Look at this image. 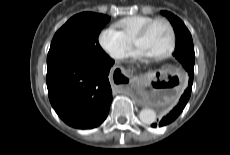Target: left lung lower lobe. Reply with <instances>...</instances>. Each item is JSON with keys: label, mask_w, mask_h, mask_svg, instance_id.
Instances as JSON below:
<instances>
[{"label": "left lung lower lobe", "mask_w": 230, "mask_h": 155, "mask_svg": "<svg viewBox=\"0 0 230 155\" xmlns=\"http://www.w3.org/2000/svg\"><path fill=\"white\" fill-rule=\"evenodd\" d=\"M183 67L187 71L189 75V82L188 85L185 89V91L182 93L179 102L177 105L167 114L162 118V120L159 123H153L151 126L152 127H162L164 125H167L171 122H173L183 111L185 105L187 104L190 95H191V90H192V84H193V76H194V64L190 62H183Z\"/></svg>", "instance_id": "1"}]
</instances>
